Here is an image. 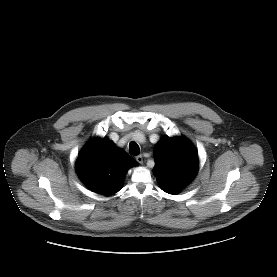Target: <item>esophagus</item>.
Here are the masks:
<instances>
[{"mask_svg":"<svg viewBox=\"0 0 277 277\" xmlns=\"http://www.w3.org/2000/svg\"><path fill=\"white\" fill-rule=\"evenodd\" d=\"M136 161L140 164L143 163V157L141 155L136 156Z\"/></svg>","mask_w":277,"mask_h":277,"instance_id":"esophagus-1","label":"esophagus"}]
</instances>
